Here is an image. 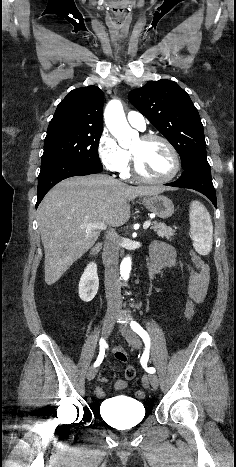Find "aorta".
<instances>
[{"label":"aorta","instance_id":"obj_1","mask_svg":"<svg viewBox=\"0 0 236 467\" xmlns=\"http://www.w3.org/2000/svg\"><path fill=\"white\" fill-rule=\"evenodd\" d=\"M104 119L111 134L118 140L121 146H127L128 140L135 134L129 126L123 106L120 100H111L104 111ZM131 257H125L120 265V274L123 280H128L131 271Z\"/></svg>","mask_w":236,"mask_h":467}]
</instances>
